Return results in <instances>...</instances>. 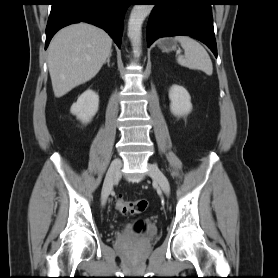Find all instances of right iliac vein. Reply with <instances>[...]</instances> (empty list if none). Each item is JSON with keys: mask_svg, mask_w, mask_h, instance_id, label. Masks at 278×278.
Here are the masks:
<instances>
[{"mask_svg": "<svg viewBox=\"0 0 278 278\" xmlns=\"http://www.w3.org/2000/svg\"><path fill=\"white\" fill-rule=\"evenodd\" d=\"M121 165H122L121 160L117 158L112 161V163L107 171V174H106V177H105V180L103 183V187H102V193H101L103 203L106 202V200L112 190L113 184L117 178Z\"/></svg>", "mask_w": 278, "mask_h": 278, "instance_id": "obj_1", "label": "right iliac vein"}]
</instances>
